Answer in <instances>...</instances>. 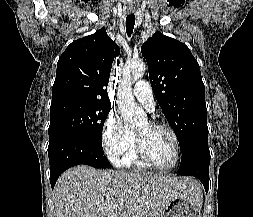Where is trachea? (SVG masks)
Listing matches in <instances>:
<instances>
[{
    "mask_svg": "<svg viewBox=\"0 0 253 217\" xmlns=\"http://www.w3.org/2000/svg\"><path fill=\"white\" fill-rule=\"evenodd\" d=\"M135 25V15L129 14L126 17V32L128 36H131Z\"/></svg>",
    "mask_w": 253,
    "mask_h": 217,
    "instance_id": "3493384b",
    "label": "trachea"
}]
</instances>
